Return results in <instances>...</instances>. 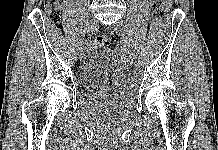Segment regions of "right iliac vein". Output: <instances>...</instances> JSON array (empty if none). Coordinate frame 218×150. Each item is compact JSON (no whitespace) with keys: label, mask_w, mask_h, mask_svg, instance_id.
<instances>
[{"label":"right iliac vein","mask_w":218,"mask_h":150,"mask_svg":"<svg viewBox=\"0 0 218 150\" xmlns=\"http://www.w3.org/2000/svg\"><path fill=\"white\" fill-rule=\"evenodd\" d=\"M96 27H97V20L96 19H94V18H92V19H90V21H89V23H88V26H87V32L88 31H92L93 33L95 32V30H96ZM83 41H82V45L84 46V45H86L87 44V39L84 37L83 39H82Z\"/></svg>","instance_id":"63e3f726"}]
</instances>
